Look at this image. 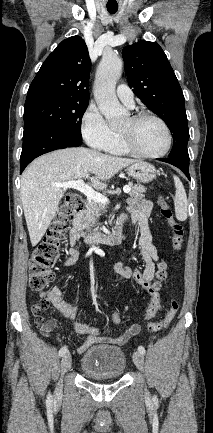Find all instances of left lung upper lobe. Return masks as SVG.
<instances>
[{
	"label": "left lung upper lobe",
	"mask_w": 213,
	"mask_h": 433,
	"mask_svg": "<svg viewBox=\"0 0 213 433\" xmlns=\"http://www.w3.org/2000/svg\"><path fill=\"white\" fill-rule=\"evenodd\" d=\"M122 57L129 87L173 133L169 158L189 162L184 95L164 51L155 42L140 41L124 47Z\"/></svg>",
	"instance_id": "1"
}]
</instances>
